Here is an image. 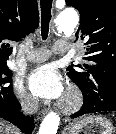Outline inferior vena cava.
I'll use <instances>...</instances> for the list:
<instances>
[{"label":"inferior vena cava","instance_id":"inferior-vena-cava-1","mask_svg":"<svg viewBox=\"0 0 116 134\" xmlns=\"http://www.w3.org/2000/svg\"><path fill=\"white\" fill-rule=\"evenodd\" d=\"M38 108V99L31 98L22 105V110L25 114H34Z\"/></svg>","mask_w":116,"mask_h":134}]
</instances>
